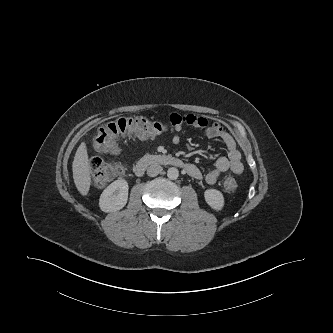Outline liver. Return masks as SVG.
Masks as SVG:
<instances>
[{
	"instance_id": "obj_1",
	"label": "liver",
	"mask_w": 333,
	"mask_h": 333,
	"mask_svg": "<svg viewBox=\"0 0 333 333\" xmlns=\"http://www.w3.org/2000/svg\"><path fill=\"white\" fill-rule=\"evenodd\" d=\"M72 171L77 190L81 195L86 196L91 185V167L85 142L80 144L75 153L72 164Z\"/></svg>"
}]
</instances>
